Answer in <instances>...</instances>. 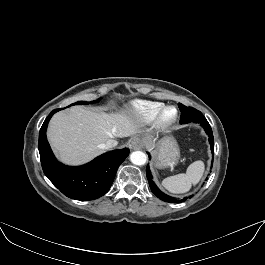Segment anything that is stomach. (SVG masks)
Returning a JSON list of instances; mask_svg holds the SVG:
<instances>
[{
	"label": "stomach",
	"instance_id": "1",
	"mask_svg": "<svg viewBox=\"0 0 265 265\" xmlns=\"http://www.w3.org/2000/svg\"><path fill=\"white\" fill-rule=\"evenodd\" d=\"M143 141L145 146L152 150L156 167H173L178 163L180 151L173 137H165L158 142L150 137H145Z\"/></svg>",
	"mask_w": 265,
	"mask_h": 265
}]
</instances>
